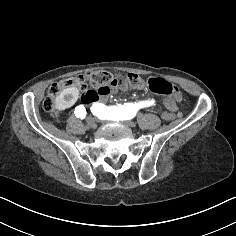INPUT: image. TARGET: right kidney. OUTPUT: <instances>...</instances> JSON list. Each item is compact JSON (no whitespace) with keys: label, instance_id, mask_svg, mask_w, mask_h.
Segmentation results:
<instances>
[{"label":"right kidney","instance_id":"right-kidney-1","mask_svg":"<svg viewBox=\"0 0 236 236\" xmlns=\"http://www.w3.org/2000/svg\"><path fill=\"white\" fill-rule=\"evenodd\" d=\"M79 97V89L76 87H67L53 102L55 109L62 111L70 108Z\"/></svg>","mask_w":236,"mask_h":236}]
</instances>
